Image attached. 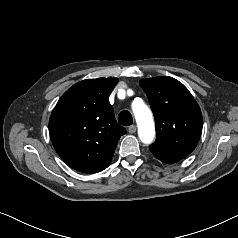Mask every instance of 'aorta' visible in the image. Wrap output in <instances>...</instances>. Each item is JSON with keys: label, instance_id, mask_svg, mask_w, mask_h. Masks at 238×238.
I'll use <instances>...</instances> for the list:
<instances>
[{"label": "aorta", "instance_id": "1", "mask_svg": "<svg viewBox=\"0 0 238 238\" xmlns=\"http://www.w3.org/2000/svg\"><path fill=\"white\" fill-rule=\"evenodd\" d=\"M132 110L138 126V136L144 144H150L155 138V125L149 107L142 101H134Z\"/></svg>", "mask_w": 238, "mask_h": 238}]
</instances>
